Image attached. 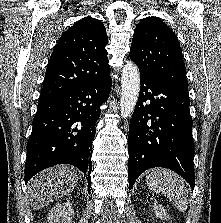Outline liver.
Instances as JSON below:
<instances>
[{"label":"liver","mask_w":221,"mask_h":223,"mask_svg":"<svg viewBox=\"0 0 221 223\" xmlns=\"http://www.w3.org/2000/svg\"><path fill=\"white\" fill-rule=\"evenodd\" d=\"M78 182L75 169L68 165L48 168L33 177L27 186L31 207L40 209L71 192Z\"/></svg>","instance_id":"1"}]
</instances>
